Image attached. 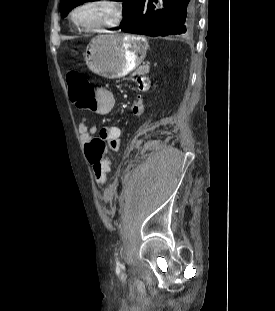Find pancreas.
<instances>
[{
	"label": "pancreas",
	"mask_w": 275,
	"mask_h": 311,
	"mask_svg": "<svg viewBox=\"0 0 275 311\" xmlns=\"http://www.w3.org/2000/svg\"><path fill=\"white\" fill-rule=\"evenodd\" d=\"M147 71H148V66H140L137 68L135 74L143 75V74L147 73Z\"/></svg>",
	"instance_id": "pancreas-1"
}]
</instances>
